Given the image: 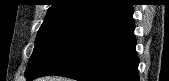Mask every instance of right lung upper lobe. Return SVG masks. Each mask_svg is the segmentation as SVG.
I'll return each mask as SVG.
<instances>
[{"label":"right lung upper lobe","mask_w":169,"mask_h":81,"mask_svg":"<svg viewBox=\"0 0 169 81\" xmlns=\"http://www.w3.org/2000/svg\"><path fill=\"white\" fill-rule=\"evenodd\" d=\"M123 4L125 0H55L45 19L73 16L90 21Z\"/></svg>","instance_id":"1"}]
</instances>
